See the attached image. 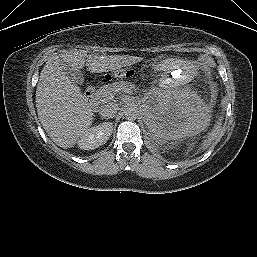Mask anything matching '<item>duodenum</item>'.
<instances>
[{"instance_id":"1","label":"duodenum","mask_w":257,"mask_h":257,"mask_svg":"<svg viewBox=\"0 0 257 257\" xmlns=\"http://www.w3.org/2000/svg\"><path fill=\"white\" fill-rule=\"evenodd\" d=\"M85 101L89 109H94L95 107V89L89 87L85 92Z\"/></svg>"}]
</instances>
